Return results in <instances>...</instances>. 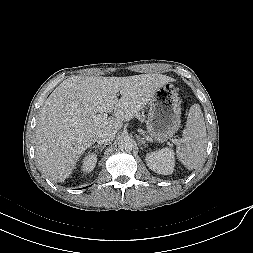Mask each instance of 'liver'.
I'll use <instances>...</instances> for the list:
<instances>
[{"instance_id":"6515ba94","label":"liver","mask_w":253,"mask_h":253,"mask_svg":"<svg viewBox=\"0 0 253 253\" xmlns=\"http://www.w3.org/2000/svg\"><path fill=\"white\" fill-rule=\"evenodd\" d=\"M173 81L172 77L150 73L64 80L50 94L39 115L35 130L38 165L53 181H64L96 141L99 130L108 127L117 133L123 121L136 117L160 87ZM113 111V116L95 119L97 112Z\"/></svg>"}]
</instances>
